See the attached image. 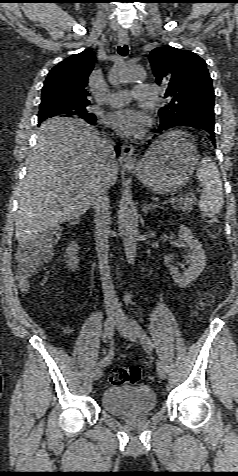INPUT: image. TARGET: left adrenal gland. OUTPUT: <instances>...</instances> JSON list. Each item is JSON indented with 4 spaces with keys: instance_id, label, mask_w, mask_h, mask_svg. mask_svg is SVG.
I'll return each instance as SVG.
<instances>
[{
    "instance_id": "left-adrenal-gland-1",
    "label": "left adrenal gland",
    "mask_w": 238,
    "mask_h": 476,
    "mask_svg": "<svg viewBox=\"0 0 238 476\" xmlns=\"http://www.w3.org/2000/svg\"><path fill=\"white\" fill-rule=\"evenodd\" d=\"M160 206L159 205H156V204H147L145 203L143 205V211L145 214H148V212L151 210V209H155V208H159Z\"/></svg>"
}]
</instances>
